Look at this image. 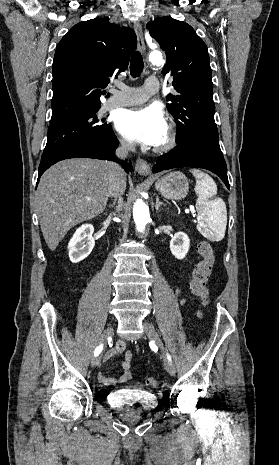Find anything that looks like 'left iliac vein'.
<instances>
[{"label": "left iliac vein", "mask_w": 279, "mask_h": 465, "mask_svg": "<svg viewBox=\"0 0 279 465\" xmlns=\"http://www.w3.org/2000/svg\"><path fill=\"white\" fill-rule=\"evenodd\" d=\"M143 328H144V331H145V334L147 335V337L153 341L159 348H160V351L164 357V360H165V368L167 370V372L171 375V376H174L175 375V367H174V364L172 363L171 359L168 358V355H167V350L166 348L164 347L156 329L154 328V326L152 324H150L149 322H146L144 321L143 322Z\"/></svg>", "instance_id": "4c4485c4"}]
</instances>
